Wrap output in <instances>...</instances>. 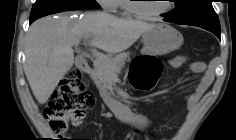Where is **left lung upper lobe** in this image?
<instances>
[{
  "instance_id": "left-lung-upper-lobe-1",
  "label": "left lung upper lobe",
  "mask_w": 236,
  "mask_h": 140,
  "mask_svg": "<svg viewBox=\"0 0 236 140\" xmlns=\"http://www.w3.org/2000/svg\"><path fill=\"white\" fill-rule=\"evenodd\" d=\"M176 9L163 14L169 22L193 25L220 33V23L212 0H174Z\"/></svg>"
}]
</instances>
